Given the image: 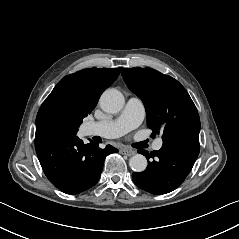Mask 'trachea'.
Here are the masks:
<instances>
[{"mask_svg": "<svg viewBox=\"0 0 239 239\" xmlns=\"http://www.w3.org/2000/svg\"><path fill=\"white\" fill-rule=\"evenodd\" d=\"M140 145V143L139 144H136V146L135 147H138Z\"/></svg>", "mask_w": 239, "mask_h": 239, "instance_id": "obj_1", "label": "trachea"}]
</instances>
